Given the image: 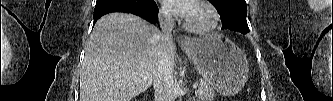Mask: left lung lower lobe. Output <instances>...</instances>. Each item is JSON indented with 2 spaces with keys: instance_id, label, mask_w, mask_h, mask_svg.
I'll list each match as a JSON object with an SVG mask.
<instances>
[{
  "instance_id": "0a47b994",
  "label": "left lung lower lobe",
  "mask_w": 333,
  "mask_h": 101,
  "mask_svg": "<svg viewBox=\"0 0 333 101\" xmlns=\"http://www.w3.org/2000/svg\"><path fill=\"white\" fill-rule=\"evenodd\" d=\"M221 1V0H220ZM241 1V3H242V5L244 6H246V2H245V0H240ZM247 7V6H246ZM231 26L229 25V24H227V25H222V29H229ZM235 31V30H234ZM238 32H241L242 34H246V33H248L249 32V28L248 27H242V28H240L239 29V31Z\"/></svg>"
}]
</instances>
